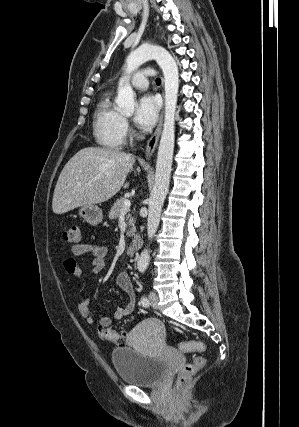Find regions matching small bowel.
Wrapping results in <instances>:
<instances>
[{"label":"small bowel","mask_w":299,"mask_h":427,"mask_svg":"<svg viewBox=\"0 0 299 427\" xmlns=\"http://www.w3.org/2000/svg\"><path fill=\"white\" fill-rule=\"evenodd\" d=\"M71 256L63 263L66 273L79 282H82V271L79 265L74 260L75 257L89 255L91 257V273L98 274L105 268L107 249L106 247L96 243H84L73 246L70 250ZM117 285L124 290L127 295V302L124 306L119 307L114 312V318L117 320L123 319L134 311L135 308V290L130 276L127 272H120L116 277ZM89 298L83 299L78 304V312L89 325L98 323L99 327H108L111 324V318L106 315H101L96 319L89 309Z\"/></svg>","instance_id":"obj_1"}]
</instances>
